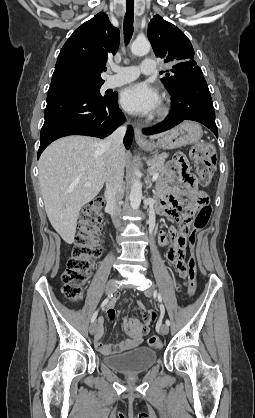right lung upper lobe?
Segmentation results:
<instances>
[{
  "label": "right lung upper lobe",
  "instance_id": "right-lung-upper-lobe-1",
  "mask_svg": "<svg viewBox=\"0 0 255 418\" xmlns=\"http://www.w3.org/2000/svg\"><path fill=\"white\" fill-rule=\"evenodd\" d=\"M120 43L119 30L100 12L82 24L62 47L50 87L74 83H104L101 72Z\"/></svg>",
  "mask_w": 255,
  "mask_h": 418
}]
</instances>
